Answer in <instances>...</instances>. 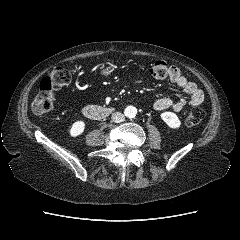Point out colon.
Listing matches in <instances>:
<instances>
[{
	"label": "colon",
	"mask_w": 240,
	"mask_h": 240,
	"mask_svg": "<svg viewBox=\"0 0 240 240\" xmlns=\"http://www.w3.org/2000/svg\"><path fill=\"white\" fill-rule=\"evenodd\" d=\"M169 66L164 61H156L150 67V74L158 80H164L169 76ZM71 72L64 67H55L40 82L39 92L36 95L32 110L37 115L50 112L55 104V91L67 86L71 82ZM204 118V110L196 108L185 118L187 126L199 124Z\"/></svg>",
	"instance_id": "obj_1"
}]
</instances>
